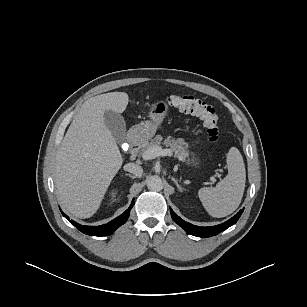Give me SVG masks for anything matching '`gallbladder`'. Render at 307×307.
<instances>
[{
    "label": "gallbladder",
    "mask_w": 307,
    "mask_h": 307,
    "mask_svg": "<svg viewBox=\"0 0 307 307\" xmlns=\"http://www.w3.org/2000/svg\"><path fill=\"white\" fill-rule=\"evenodd\" d=\"M104 123L118 142H123L126 139V124L119 113L106 110L104 112Z\"/></svg>",
    "instance_id": "1"
}]
</instances>
